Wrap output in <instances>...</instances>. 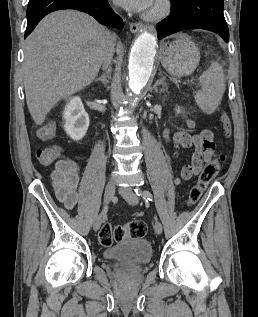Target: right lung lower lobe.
<instances>
[{
	"label": "right lung lower lobe",
	"instance_id": "98d812e1",
	"mask_svg": "<svg viewBox=\"0 0 258 317\" xmlns=\"http://www.w3.org/2000/svg\"><path fill=\"white\" fill-rule=\"evenodd\" d=\"M63 9H75L93 16L99 23L118 29L123 28L122 19L111 9L107 0H29L27 7L26 38L38 22L47 14Z\"/></svg>",
	"mask_w": 258,
	"mask_h": 317
}]
</instances>
